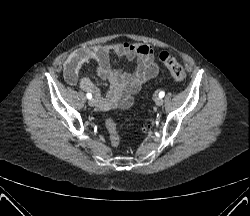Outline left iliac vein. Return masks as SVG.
Wrapping results in <instances>:
<instances>
[{
	"label": "left iliac vein",
	"instance_id": "4c4485c4",
	"mask_svg": "<svg viewBox=\"0 0 250 216\" xmlns=\"http://www.w3.org/2000/svg\"><path fill=\"white\" fill-rule=\"evenodd\" d=\"M155 103L156 105L161 106L163 104V99L161 97H156Z\"/></svg>",
	"mask_w": 250,
	"mask_h": 216
}]
</instances>
